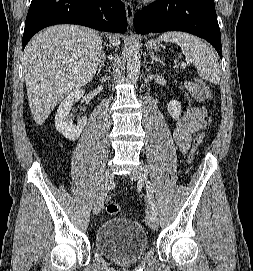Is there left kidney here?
<instances>
[{
	"mask_svg": "<svg viewBox=\"0 0 253 271\" xmlns=\"http://www.w3.org/2000/svg\"><path fill=\"white\" fill-rule=\"evenodd\" d=\"M168 113L172 116V118L177 119L181 115V103L177 100H171L167 104Z\"/></svg>",
	"mask_w": 253,
	"mask_h": 271,
	"instance_id": "1",
	"label": "left kidney"
}]
</instances>
